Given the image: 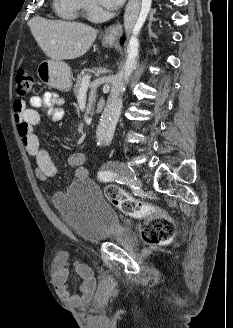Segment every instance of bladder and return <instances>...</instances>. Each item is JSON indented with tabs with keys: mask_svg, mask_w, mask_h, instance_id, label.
<instances>
[{
	"mask_svg": "<svg viewBox=\"0 0 233 328\" xmlns=\"http://www.w3.org/2000/svg\"><path fill=\"white\" fill-rule=\"evenodd\" d=\"M52 204L62 220L83 240L91 243L114 239L133 245L120 218L91 180H77L52 197Z\"/></svg>",
	"mask_w": 233,
	"mask_h": 328,
	"instance_id": "1",
	"label": "bladder"
}]
</instances>
